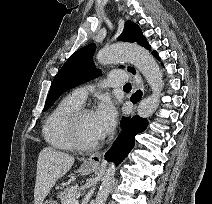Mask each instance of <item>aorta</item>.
I'll list each match as a JSON object with an SVG mask.
<instances>
[{
    "instance_id": "obj_1",
    "label": "aorta",
    "mask_w": 212,
    "mask_h": 204,
    "mask_svg": "<svg viewBox=\"0 0 212 204\" xmlns=\"http://www.w3.org/2000/svg\"><path fill=\"white\" fill-rule=\"evenodd\" d=\"M97 61L103 65L118 61L132 63L143 74L152 89V94L139 103L137 114L147 118L157 110L162 95L163 76L158 63L146 49L134 44H114L102 48L97 54ZM114 174L115 165L111 163L102 178L95 204H105Z\"/></svg>"
}]
</instances>
